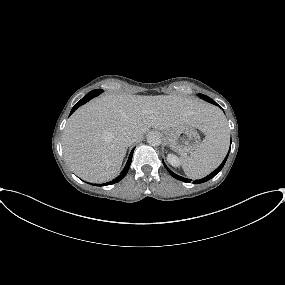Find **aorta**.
Listing matches in <instances>:
<instances>
[{
	"instance_id": "1",
	"label": "aorta",
	"mask_w": 285,
	"mask_h": 285,
	"mask_svg": "<svg viewBox=\"0 0 285 285\" xmlns=\"http://www.w3.org/2000/svg\"><path fill=\"white\" fill-rule=\"evenodd\" d=\"M147 142L151 146H159L161 144V136L157 132H150L147 135Z\"/></svg>"
}]
</instances>
